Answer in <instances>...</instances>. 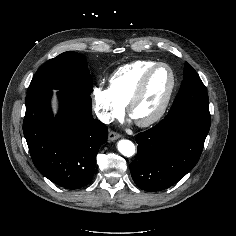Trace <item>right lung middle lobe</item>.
Here are the masks:
<instances>
[{
  "mask_svg": "<svg viewBox=\"0 0 236 236\" xmlns=\"http://www.w3.org/2000/svg\"><path fill=\"white\" fill-rule=\"evenodd\" d=\"M93 88L85 57L64 52L48 60L34 75L27 93L41 89H57L90 95Z\"/></svg>",
  "mask_w": 236,
  "mask_h": 236,
  "instance_id": "obj_1",
  "label": "right lung middle lobe"
}]
</instances>
